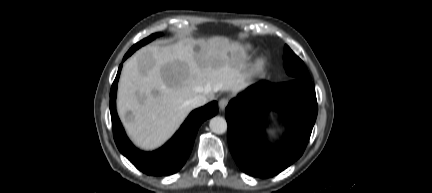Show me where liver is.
Here are the masks:
<instances>
[{
  "mask_svg": "<svg viewBox=\"0 0 432 193\" xmlns=\"http://www.w3.org/2000/svg\"><path fill=\"white\" fill-rule=\"evenodd\" d=\"M248 66L243 46L224 36L141 48L124 63L118 84L117 110L128 136L144 150L160 147L192 111L196 95L212 100L218 91L249 85Z\"/></svg>",
  "mask_w": 432,
  "mask_h": 193,
  "instance_id": "obj_1",
  "label": "liver"
}]
</instances>
